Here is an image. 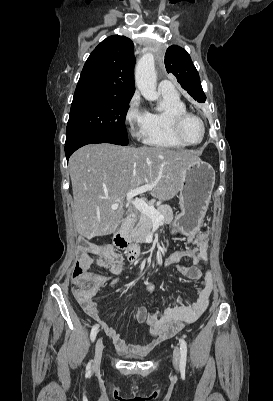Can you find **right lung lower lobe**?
<instances>
[{"mask_svg":"<svg viewBox=\"0 0 273 401\" xmlns=\"http://www.w3.org/2000/svg\"><path fill=\"white\" fill-rule=\"evenodd\" d=\"M91 143H108V142L93 137H77V138H72L70 140H66L65 142L66 158L68 159L72 155V153L76 151L78 148Z\"/></svg>","mask_w":273,"mask_h":401,"instance_id":"right-lung-lower-lobe-1","label":"right lung lower lobe"}]
</instances>
